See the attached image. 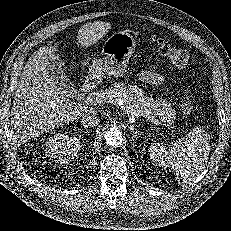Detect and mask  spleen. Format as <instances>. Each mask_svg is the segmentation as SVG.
<instances>
[{"label": "spleen", "instance_id": "obj_1", "mask_svg": "<svg viewBox=\"0 0 231 231\" xmlns=\"http://www.w3.org/2000/svg\"><path fill=\"white\" fill-rule=\"evenodd\" d=\"M208 140V134L196 127L170 149L162 143L152 144L150 158L160 167L171 168L178 182L188 184L205 164L210 147Z\"/></svg>", "mask_w": 231, "mask_h": 231}]
</instances>
